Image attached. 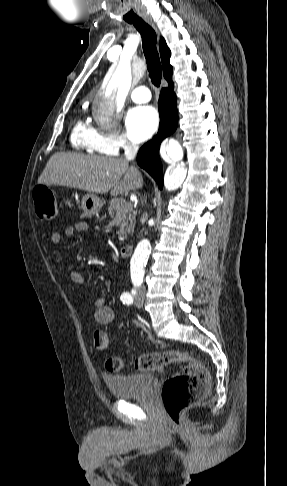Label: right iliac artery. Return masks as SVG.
<instances>
[{
  "label": "right iliac artery",
  "mask_w": 287,
  "mask_h": 486,
  "mask_svg": "<svg viewBox=\"0 0 287 486\" xmlns=\"http://www.w3.org/2000/svg\"><path fill=\"white\" fill-rule=\"evenodd\" d=\"M132 293H133V294H135V291H134V290H132ZM124 298H132V296H131V294H130V293L125 292V293H123V294H122V296H121V299H124Z\"/></svg>",
  "instance_id": "82829eb1"
}]
</instances>
